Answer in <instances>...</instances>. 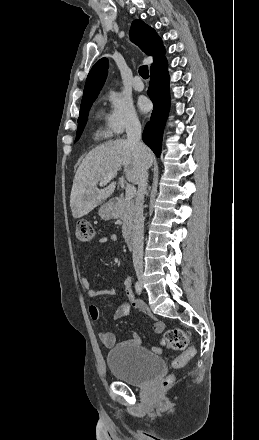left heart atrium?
<instances>
[{"mask_svg": "<svg viewBox=\"0 0 259 440\" xmlns=\"http://www.w3.org/2000/svg\"><path fill=\"white\" fill-rule=\"evenodd\" d=\"M138 106L142 112H147L150 109V103L145 97L139 98Z\"/></svg>", "mask_w": 259, "mask_h": 440, "instance_id": "1", "label": "left heart atrium"}]
</instances>
